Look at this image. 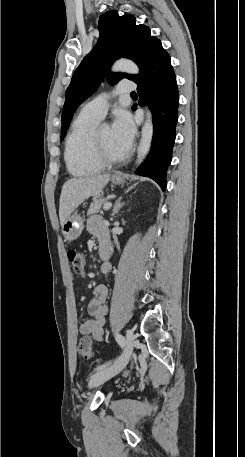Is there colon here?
I'll use <instances>...</instances> for the list:
<instances>
[{
    "label": "colon",
    "mask_w": 245,
    "mask_h": 457,
    "mask_svg": "<svg viewBox=\"0 0 245 457\" xmlns=\"http://www.w3.org/2000/svg\"><path fill=\"white\" fill-rule=\"evenodd\" d=\"M68 260L75 273H82L85 265L84 255L75 249H70L67 252ZM78 352L84 359H89L92 356V341L89 337L84 336L78 343Z\"/></svg>",
    "instance_id": "1"
}]
</instances>
